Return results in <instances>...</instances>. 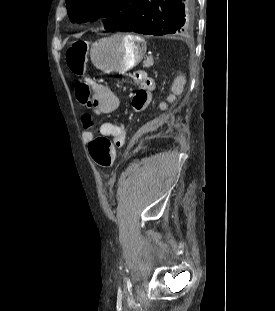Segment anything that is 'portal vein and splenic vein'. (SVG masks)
I'll list each match as a JSON object with an SVG mask.
<instances>
[{"label":"portal vein and splenic vein","instance_id":"obj_1","mask_svg":"<svg viewBox=\"0 0 275 311\" xmlns=\"http://www.w3.org/2000/svg\"><path fill=\"white\" fill-rule=\"evenodd\" d=\"M151 65H153V59H152V57H150V58L147 59V64H146V66H151Z\"/></svg>","mask_w":275,"mask_h":311}]
</instances>
